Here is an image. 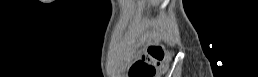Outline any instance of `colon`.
Returning a JSON list of instances; mask_svg holds the SVG:
<instances>
[{
    "label": "colon",
    "mask_w": 258,
    "mask_h": 77,
    "mask_svg": "<svg viewBox=\"0 0 258 77\" xmlns=\"http://www.w3.org/2000/svg\"><path fill=\"white\" fill-rule=\"evenodd\" d=\"M170 53L161 46H151L130 69V77H157L167 68Z\"/></svg>",
    "instance_id": "colon-1"
}]
</instances>
